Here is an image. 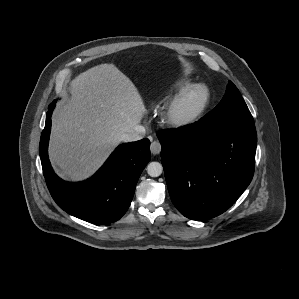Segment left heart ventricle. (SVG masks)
Segmentation results:
<instances>
[{
  "label": "left heart ventricle",
  "instance_id": "left-heart-ventricle-1",
  "mask_svg": "<svg viewBox=\"0 0 299 299\" xmlns=\"http://www.w3.org/2000/svg\"><path fill=\"white\" fill-rule=\"evenodd\" d=\"M202 100H203V93L201 91L192 93L185 101V103L182 107V111L183 112L193 111L194 109H196L199 106V104L202 102Z\"/></svg>",
  "mask_w": 299,
  "mask_h": 299
}]
</instances>
